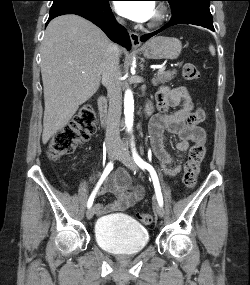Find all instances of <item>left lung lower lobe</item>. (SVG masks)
Returning a JSON list of instances; mask_svg holds the SVG:
<instances>
[{"label":"left lung lower lobe","instance_id":"obj_1","mask_svg":"<svg viewBox=\"0 0 250 285\" xmlns=\"http://www.w3.org/2000/svg\"><path fill=\"white\" fill-rule=\"evenodd\" d=\"M177 24H193V25H197V26H202V27L208 28L211 31H215L214 26H213L212 18L197 16V17H190V18H187V19L181 20V21H172L171 20L168 24H166L161 29H159V30H157V31H155L153 33H150V34L143 35L141 37V41L145 42L146 40H148L152 36L158 34L159 32L163 31L164 29H166V28H168L170 26H173V25H177Z\"/></svg>","mask_w":250,"mask_h":285}]
</instances>
